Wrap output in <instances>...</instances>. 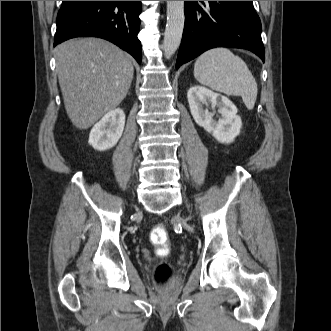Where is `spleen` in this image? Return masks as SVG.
Returning <instances> with one entry per match:
<instances>
[{
	"instance_id": "1",
	"label": "spleen",
	"mask_w": 331,
	"mask_h": 331,
	"mask_svg": "<svg viewBox=\"0 0 331 331\" xmlns=\"http://www.w3.org/2000/svg\"><path fill=\"white\" fill-rule=\"evenodd\" d=\"M198 82L227 95L241 96L247 109L254 108L257 83L246 63L227 48H213L201 54L194 64Z\"/></svg>"
}]
</instances>
